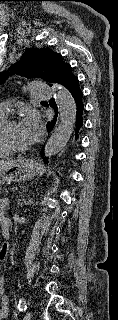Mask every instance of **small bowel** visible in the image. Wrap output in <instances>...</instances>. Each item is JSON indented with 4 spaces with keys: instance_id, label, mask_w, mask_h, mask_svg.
Wrapping results in <instances>:
<instances>
[{
    "instance_id": "small-bowel-1",
    "label": "small bowel",
    "mask_w": 118,
    "mask_h": 320,
    "mask_svg": "<svg viewBox=\"0 0 118 320\" xmlns=\"http://www.w3.org/2000/svg\"><path fill=\"white\" fill-rule=\"evenodd\" d=\"M8 206L7 199H0V209L4 210ZM2 214L3 212L0 211ZM6 251V247L2 246L0 248V253ZM5 282L6 279L4 276H0V320H3L8 317L9 314V299L5 294Z\"/></svg>"
}]
</instances>
